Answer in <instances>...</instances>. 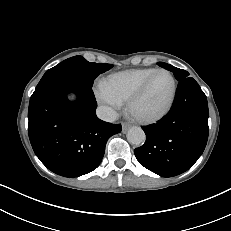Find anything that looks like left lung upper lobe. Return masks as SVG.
Returning a JSON list of instances; mask_svg holds the SVG:
<instances>
[{"mask_svg": "<svg viewBox=\"0 0 231 231\" xmlns=\"http://www.w3.org/2000/svg\"><path fill=\"white\" fill-rule=\"evenodd\" d=\"M158 65L165 68V69H167V70H169V71H171V72H173L175 78L178 81H180V80H182L184 78H187L188 75H189V73L187 71L176 68V67H174L172 65H169L167 63L159 62Z\"/></svg>", "mask_w": 231, "mask_h": 231, "instance_id": "obj_1", "label": "left lung upper lobe"}]
</instances>
